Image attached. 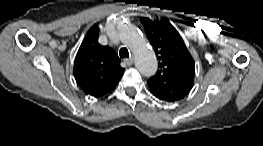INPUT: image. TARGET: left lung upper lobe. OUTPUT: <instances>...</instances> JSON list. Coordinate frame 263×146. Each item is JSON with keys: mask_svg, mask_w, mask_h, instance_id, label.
I'll list each match as a JSON object with an SVG mask.
<instances>
[{"mask_svg": "<svg viewBox=\"0 0 263 146\" xmlns=\"http://www.w3.org/2000/svg\"><path fill=\"white\" fill-rule=\"evenodd\" d=\"M157 59L158 71L148 80L150 91L168 101L185 97L193 87L195 63L177 30L168 22L143 19Z\"/></svg>", "mask_w": 263, "mask_h": 146, "instance_id": "obj_1", "label": "left lung upper lobe"}]
</instances>
